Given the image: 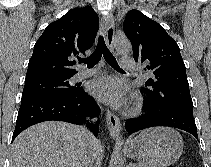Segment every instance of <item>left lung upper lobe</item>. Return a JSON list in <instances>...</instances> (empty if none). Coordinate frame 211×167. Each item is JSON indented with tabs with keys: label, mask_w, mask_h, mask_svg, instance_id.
Returning <instances> with one entry per match:
<instances>
[{
	"label": "left lung upper lobe",
	"mask_w": 211,
	"mask_h": 167,
	"mask_svg": "<svg viewBox=\"0 0 211 167\" xmlns=\"http://www.w3.org/2000/svg\"><path fill=\"white\" fill-rule=\"evenodd\" d=\"M123 29L132 43L133 57L152 73L141 91L151 111L180 110L193 115L185 64L179 47L165 29L138 10L127 13Z\"/></svg>",
	"instance_id": "5c2ea615"
}]
</instances>
